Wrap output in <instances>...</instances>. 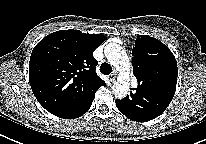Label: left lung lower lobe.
<instances>
[{
  "instance_id": "obj_1",
  "label": "left lung lower lobe",
  "mask_w": 206,
  "mask_h": 144,
  "mask_svg": "<svg viewBox=\"0 0 206 144\" xmlns=\"http://www.w3.org/2000/svg\"><path fill=\"white\" fill-rule=\"evenodd\" d=\"M138 97V96H136ZM140 100V99H139ZM142 106L140 112L132 114L128 108V98L122 100H116V106L119 111L124 114L127 118L138 121L145 122L158 117L161 113L165 111L166 108L163 107L161 99H142L140 102Z\"/></svg>"
}]
</instances>
